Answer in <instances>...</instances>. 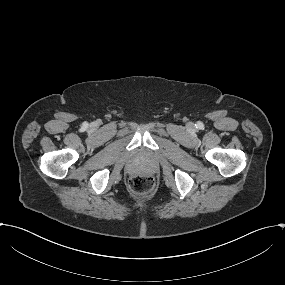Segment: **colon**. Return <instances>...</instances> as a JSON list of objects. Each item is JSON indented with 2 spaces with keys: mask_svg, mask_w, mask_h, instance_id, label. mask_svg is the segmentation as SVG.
<instances>
[{
  "mask_svg": "<svg viewBox=\"0 0 285 285\" xmlns=\"http://www.w3.org/2000/svg\"><path fill=\"white\" fill-rule=\"evenodd\" d=\"M129 187L136 194H149L154 190L155 180L147 174H136L130 178Z\"/></svg>",
  "mask_w": 285,
  "mask_h": 285,
  "instance_id": "5ec220e1",
  "label": "colon"
}]
</instances>
